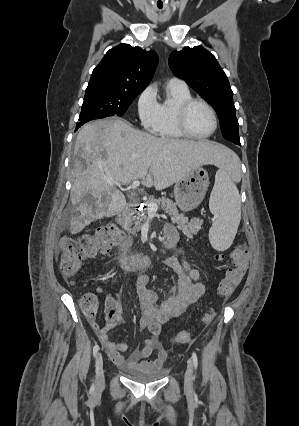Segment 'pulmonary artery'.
Instances as JSON below:
<instances>
[{
    "label": "pulmonary artery",
    "mask_w": 299,
    "mask_h": 426,
    "mask_svg": "<svg viewBox=\"0 0 299 426\" xmlns=\"http://www.w3.org/2000/svg\"><path fill=\"white\" fill-rule=\"evenodd\" d=\"M169 82L170 83H174V84L185 85V83L182 80L178 79V78H172V79H170Z\"/></svg>",
    "instance_id": "obj_1"
}]
</instances>
